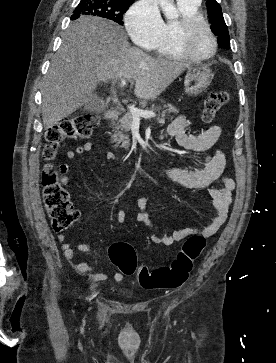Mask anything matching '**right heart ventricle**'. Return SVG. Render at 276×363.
Segmentation results:
<instances>
[{"mask_svg":"<svg viewBox=\"0 0 276 363\" xmlns=\"http://www.w3.org/2000/svg\"><path fill=\"white\" fill-rule=\"evenodd\" d=\"M180 19L193 15H201L200 3H183L178 2ZM168 20L163 22V28L158 39L148 48L158 55L176 60H187L179 49L175 39V29L177 22L180 20Z\"/></svg>","mask_w":276,"mask_h":363,"instance_id":"1","label":"right heart ventricle"}]
</instances>
